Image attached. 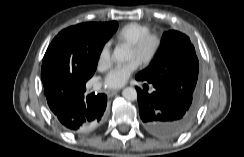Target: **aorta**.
Here are the masks:
<instances>
[{
  "label": "aorta",
  "mask_w": 244,
  "mask_h": 157,
  "mask_svg": "<svg viewBox=\"0 0 244 157\" xmlns=\"http://www.w3.org/2000/svg\"><path fill=\"white\" fill-rule=\"evenodd\" d=\"M113 59L117 62H124L128 59V51L117 46L113 51ZM122 96L127 101H135L137 99V91L133 87H126L122 91Z\"/></svg>",
  "instance_id": "aorta-1"
}]
</instances>
